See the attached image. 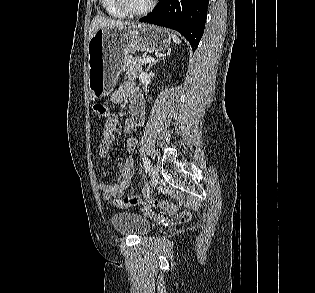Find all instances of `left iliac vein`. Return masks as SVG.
Instances as JSON below:
<instances>
[{
	"mask_svg": "<svg viewBox=\"0 0 315 293\" xmlns=\"http://www.w3.org/2000/svg\"><path fill=\"white\" fill-rule=\"evenodd\" d=\"M159 183V169L157 166H154L151 171V180H150V185L151 187L157 186Z\"/></svg>",
	"mask_w": 315,
	"mask_h": 293,
	"instance_id": "1",
	"label": "left iliac vein"
}]
</instances>
